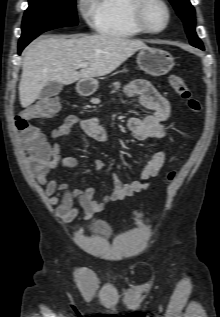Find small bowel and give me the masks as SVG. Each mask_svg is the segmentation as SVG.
Returning <instances> with one entry per match:
<instances>
[{
	"instance_id": "c3829d8e",
	"label": "small bowel",
	"mask_w": 220,
	"mask_h": 317,
	"mask_svg": "<svg viewBox=\"0 0 220 317\" xmlns=\"http://www.w3.org/2000/svg\"><path fill=\"white\" fill-rule=\"evenodd\" d=\"M125 93L128 98L137 99L140 105L150 112L145 117L129 119L128 127L132 136L141 141L165 138L167 129L163 123L170 114L169 101L149 81L144 79L129 83L125 88ZM77 125L90 139L100 142L110 141L109 132L95 118L79 119L70 115L51 132L54 142L48 164L42 168L31 166L37 182L45 186V195L48 197L49 203L56 207V215L66 223L72 222L78 217L79 211L75 203H78L83 209V218L89 219L108 203L120 201L135 193L145 191L149 187L150 180L159 174L166 159L163 150L146 154L145 164L139 178L129 184H123L120 177L113 173L111 177L114 190L103 200L97 201L94 199L95 190L92 187L84 190L71 189L68 184L58 183L55 179L49 178L50 172L58 167L73 169L78 166L79 161L76 157L63 155L62 146L58 141L68 135ZM94 168L97 171L103 170L105 162L101 159L95 160Z\"/></svg>"
}]
</instances>
